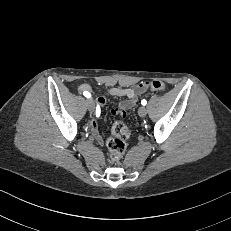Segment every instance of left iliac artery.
Instances as JSON below:
<instances>
[{
	"instance_id": "left-iliac-artery-1",
	"label": "left iliac artery",
	"mask_w": 231,
	"mask_h": 231,
	"mask_svg": "<svg viewBox=\"0 0 231 231\" xmlns=\"http://www.w3.org/2000/svg\"><path fill=\"white\" fill-rule=\"evenodd\" d=\"M146 103H147V101H146L145 99H143V100L141 101V104H142V105H146Z\"/></svg>"
}]
</instances>
